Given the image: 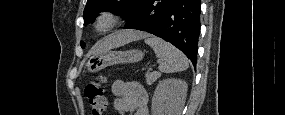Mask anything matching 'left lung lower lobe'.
<instances>
[{"instance_id": "left-lung-lower-lobe-1", "label": "left lung lower lobe", "mask_w": 285, "mask_h": 115, "mask_svg": "<svg viewBox=\"0 0 285 115\" xmlns=\"http://www.w3.org/2000/svg\"><path fill=\"white\" fill-rule=\"evenodd\" d=\"M199 0H140L126 17V29L146 31L179 48L196 66L200 34Z\"/></svg>"}]
</instances>
